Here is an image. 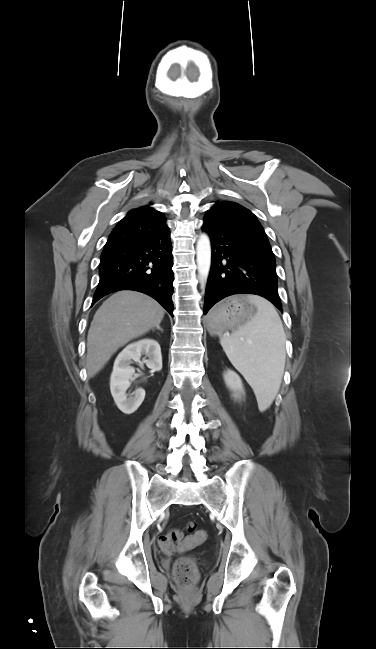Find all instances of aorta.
Masks as SVG:
<instances>
[{"instance_id": "762f6f07", "label": "aorta", "mask_w": 376, "mask_h": 649, "mask_svg": "<svg viewBox=\"0 0 376 649\" xmlns=\"http://www.w3.org/2000/svg\"><path fill=\"white\" fill-rule=\"evenodd\" d=\"M197 267L201 284H204L208 278L211 265V245L209 237L203 233L200 235L197 246Z\"/></svg>"}]
</instances>
